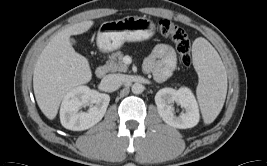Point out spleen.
Listing matches in <instances>:
<instances>
[{"instance_id": "3e777b00", "label": "spleen", "mask_w": 267, "mask_h": 166, "mask_svg": "<svg viewBox=\"0 0 267 166\" xmlns=\"http://www.w3.org/2000/svg\"><path fill=\"white\" fill-rule=\"evenodd\" d=\"M193 65L199 76L197 99L205 124L212 123L225 102L227 75L217 51L204 38H197L192 46Z\"/></svg>"}]
</instances>
